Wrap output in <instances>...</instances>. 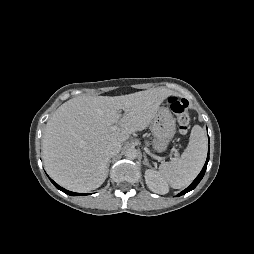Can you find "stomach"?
Masks as SVG:
<instances>
[{
	"instance_id": "stomach-1",
	"label": "stomach",
	"mask_w": 254,
	"mask_h": 254,
	"mask_svg": "<svg viewBox=\"0 0 254 254\" xmlns=\"http://www.w3.org/2000/svg\"><path fill=\"white\" fill-rule=\"evenodd\" d=\"M176 132V123L173 115L166 107H161L152 120L154 135L153 148L158 152L166 150L169 141Z\"/></svg>"
}]
</instances>
